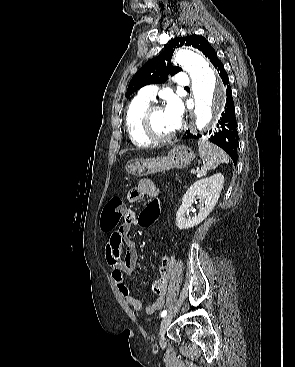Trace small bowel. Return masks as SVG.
I'll use <instances>...</instances> for the list:
<instances>
[{
	"instance_id": "c3829d8e",
	"label": "small bowel",
	"mask_w": 295,
	"mask_h": 367,
	"mask_svg": "<svg viewBox=\"0 0 295 367\" xmlns=\"http://www.w3.org/2000/svg\"><path fill=\"white\" fill-rule=\"evenodd\" d=\"M161 196L160 187L150 179H142L138 186L130 190L128 200L131 203L141 201L145 196ZM137 209L128 208L125 213V221L117 229L110 231V236L105 247V258L112 269V276L118 290L123 295L125 301L136 311L142 309V303L130 292L125 283V276H133L138 265V250L136 243L130 238L129 233L132 225L137 222ZM126 245L124 255L122 254V244ZM171 272V261L168 256L163 255L160 259L159 274L154 281L153 290L157 293V299L146 308L148 314L159 310L165 303V294L169 275Z\"/></svg>"
}]
</instances>
